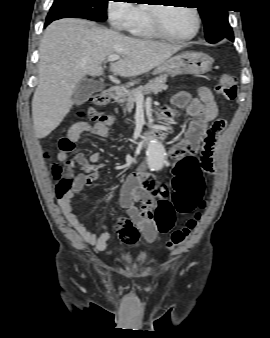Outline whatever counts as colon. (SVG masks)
<instances>
[{
  "instance_id": "colon-1",
  "label": "colon",
  "mask_w": 270,
  "mask_h": 338,
  "mask_svg": "<svg viewBox=\"0 0 270 338\" xmlns=\"http://www.w3.org/2000/svg\"><path fill=\"white\" fill-rule=\"evenodd\" d=\"M215 90L218 94L223 95L228 99H234L236 96V78L230 74H222ZM90 101L91 105L88 109V113L92 117V120L106 123L111 122L110 118L101 116L97 113L98 108L108 106L110 103L109 97L104 93H98L94 94ZM224 125V121L217 120L213 126L223 128ZM201 135L205 136L206 133L203 131L201 132ZM73 147V143L67 137H63L60 140V151L70 152ZM201 154L203 157L202 169L206 172H211L213 168L212 161L209 158L211 155L210 147L204 146ZM43 156H47V153L45 152ZM51 173L56 186L59 187V189H65L74 177L72 166L67 158L64 160L63 164H53ZM202 185L203 181L199 171L194 173L187 186L175 183L173 185L174 192L171 196V200L166 199L155 209L153 217H155L156 222H159L164 227H168L175 214L187 213L193 211L197 207L202 210L205 207V201L201 196ZM200 216L201 213L196 212L183 228L176 230L167 242V246L173 248L174 246L184 244L195 230ZM129 231L134 232V229L129 227Z\"/></svg>"
}]
</instances>
